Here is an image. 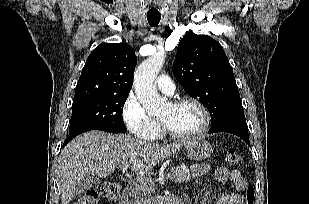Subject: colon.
<instances>
[{
	"label": "colon",
	"mask_w": 309,
	"mask_h": 204,
	"mask_svg": "<svg viewBox=\"0 0 309 204\" xmlns=\"http://www.w3.org/2000/svg\"><path fill=\"white\" fill-rule=\"evenodd\" d=\"M225 162L230 166H240L242 158L234 147H229L225 154ZM120 184L113 181L104 182L83 193L73 204H97L102 199L116 200L120 195ZM254 188L246 190V204L254 203Z\"/></svg>",
	"instance_id": "obj_1"
}]
</instances>
